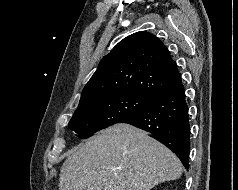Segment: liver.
I'll use <instances>...</instances> for the list:
<instances>
[{"instance_id":"1","label":"liver","mask_w":238,"mask_h":190,"mask_svg":"<svg viewBox=\"0 0 238 190\" xmlns=\"http://www.w3.org/2000/svg\"><path fill=\"white\" fill-rule=\"evenodd\" d=\"M182 164L167 147L128 124H115L71 150L59 190H150L179 179Z\"/></svg>"}]
</instances>
